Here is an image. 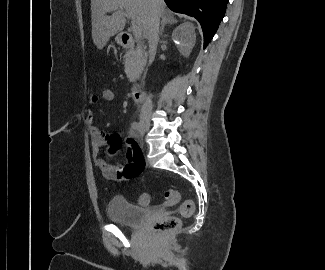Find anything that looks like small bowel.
<instances>
[{
    "mask_svg": "<svg viewBox=\"0 0 325 270\" xmlns=\"http://www.w3.org/2000/svg\"><path fill=\"white\" fill-rule=\"evenodd\" d=\"M98 101L99 97L97 95H91L89 97L90 104H96ZM86 125L91 139L93 161L100 169L104 178L112 182H125L136 177L143 171L144 161L140 151L132 140L128 139L126 142V156L129 164H110L102 157L101 148L107 147L106 153L109 156L115 155L122 145L121 136L116 133L107 134L101 131L96 124L95 115L92 111L87 113Z\"/></svg>",
    "mask_w": 325,
    "mask_h": 270,
    "instance_id": "1",
    "label": "small bowel"
}]
</instances>
